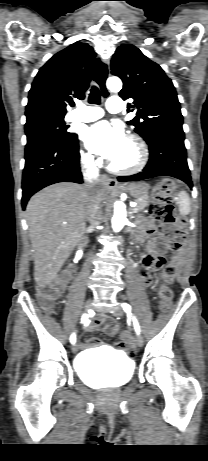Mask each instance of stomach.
<instances>
[{
    "label": "stomach",
    "mask_w": 208,
    "mask_h": 461,
    "mask_svg": "<svg viewBox=\"0 0 208 461\" xmlns=\"http://www.w3.org/2000/svg\"><path fill=\"white\" fill-rule=\"evenodd\" d=\"M125 189L135 199H139L148 195L149 185L145 182H135L128 184Z\"/></svg>",
    "instance_id": "0dacf381"
}]
</instances>
